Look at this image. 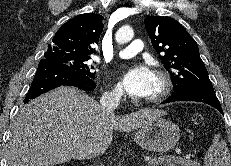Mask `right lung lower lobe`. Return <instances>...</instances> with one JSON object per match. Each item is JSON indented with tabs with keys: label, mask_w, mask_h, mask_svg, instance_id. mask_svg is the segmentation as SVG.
<instances>
[{
	"label": "right lung lower lobe",
	"mask_w": 231,
	"mask_h": 166,
	"mask_svg": "<svg viewBox=\"0 0 231 166\" xmlns=\"http://www.w3.org/2000/svg\"><path fill=\"white\" fill-rule=\"evenodd\" d=\"M94 78L82 74L68 65L60 64L48 59L39 62L38 69L31 87L24 99L28 103L41 94L61 85L75 86L86 92L96 88Z\"/></svg>",
	"instance_id": "1"
}]
</instances>
